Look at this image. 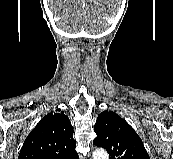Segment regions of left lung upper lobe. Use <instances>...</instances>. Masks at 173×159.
<instances>
[{"label":"left lung upper lobe","instance_id":"obj_1","mask_svg":"<svg viewBox=\"0 0 173 159\" xmlns=\"http://www.w3.org/2000/svg\"><path fill=\"white\" fill-rule=\"evenodd\" d=\"M93 144L109 153V159H150L141 138L134 129L113 111L98 115Z\"/></svg>","mask_w":173,"mask_h":159}]
</instances>
